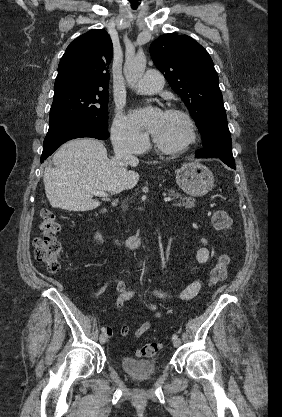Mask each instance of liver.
<instances>
[{"mask_svg": "<svg viewBox=\"0 0 282 417\" xmlns=\"http://www.w3.org/2000/svg\"><path fill=\"white\" fill-rule=\"evenodd\" d=\"M139 160H132L137 166ZM52 166L43 174L46 196L54 209L93 211L100 206L92 198L93 190H107L111 194L133 188L139 180L138 172L127 170L126 164L111 160L107 150L96 138H74L60 146L53 156Z\"/></svg>", "mask_w": 282, "mask_h": 417, "instance_id": "6515ba94", "label": "liver"}]
</instances>
